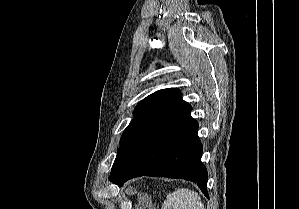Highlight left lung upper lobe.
<instances>
[{"label": "left lung upper lobe", "mask_w": 299, "mask_h": 209, "mask_svg": "<svg viewBox=\"0 0 299 209\" xmlns=\"http://www.w3.org/2000/svg\"><path fill=\"white\" fill-rule=\"evenodd\" d=\"M179 93V89H162L150 94L145 99L140 101L134 109V118L132 119L128 127L124 130L121 136L120 147L143 121H145L158 108H160L169 100L173 99Z\"/></svg>", "instance_id": "left-lung-upper-lobe-1"}]
</instances>
